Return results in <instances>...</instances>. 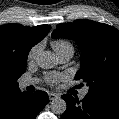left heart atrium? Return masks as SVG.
Here are the masks:
<instances>
[{"label": "left heart atrium", "mask_w": 119, "mask_h": 119, "mask_svg": "<svg viewBox=\"0 0 119 119\" xmlns=\"http://www.w3.org/2000/svg\"><path fill=\"white\" fill-rule=\"evenodd\" d=\"M63 78L64 76L60 74L49 73L46 75V81L50 84H57Z\"/></svg>", "instance_id": "left-heart-atrium-1"}]
</instances>
